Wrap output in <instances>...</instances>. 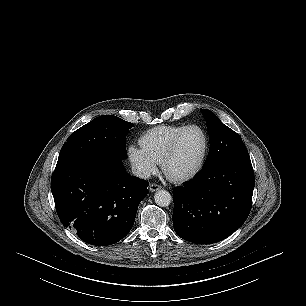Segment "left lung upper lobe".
<instances>
[{
	"label": "left lung upper lobe",
	"instance_id": "obj_1",
	"mask_svg": "<svg viewBox=\"0 0 306 306\" xmlns=\"http://www.w3.org/2000/svg\"><path fill=\"white\" fill-rule=\"evenodd\" d=\"M209 133L210 150L203 167L217 161L249 156L241 137L232 129L224 125L210 110L201 109Z\"/></svg>",
	"mask_w": 306,
	"mask_h": 306
}]
</instances>
